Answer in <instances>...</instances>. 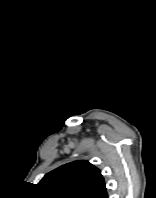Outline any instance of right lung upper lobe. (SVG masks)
Instances as JSON below:
<instances>
[{"label":"right lung upper lobe","instance_id":"1","mask_svg":"<svg viewBox=\"0 0 156 198\" xmlns=\"http://www.w3.org/2000/svg\"><path fill=\"white\" fill-rule=\"evenodd\" d=\"M38 187L50 198H108L100 171L87 161H74L47 173Z\"/></svg>","mask_w":156,"mask_h":198}]
</instances>
